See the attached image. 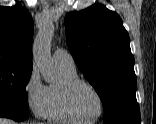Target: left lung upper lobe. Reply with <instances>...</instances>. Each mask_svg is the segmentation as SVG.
Listing matches in <instances>:
<instances>
[{
	"label": "left lung upper lobe",
	"instance_id": "obj_1",
	"mask_svg": "<svg viewBox=\"0 0 156 124\" xmlns=\"http://www.w3.org/2000/svg\"><path fill=\"white\" fill-rule=\"evenodd\" d=\"M65 29L75 62L102 101L104 124H140L134 56L120 16L95 4L68 13Z\"/></svg>",
	"mask_w": 156,
	"mask_h": 124
}]
</instances>
